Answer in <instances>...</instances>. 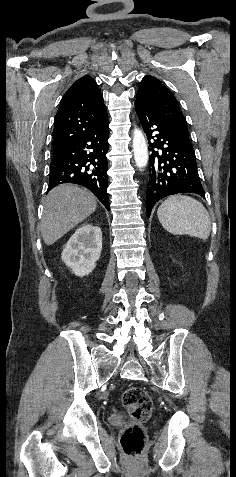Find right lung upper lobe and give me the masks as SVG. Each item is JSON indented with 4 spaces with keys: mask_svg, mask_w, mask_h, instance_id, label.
<instances>
[{
    "mask_svg": "<svg viewBox=\"0 0 236 477\" xmlns=\"http://www.w3.org/2000/svg\"><path fill=\"white\" fill-rule=\"evenodd\" d=\"M108 121L103 96L95 80L86 75L67 90L57 111L53 130V155Z\"/></svg>",
    "mask_w": 236,
    "mask_h": 477,
    "instance_id": "right-lung-upper-lobe-1",
    "label": "right lung upper lobe"
}]
</instances>
